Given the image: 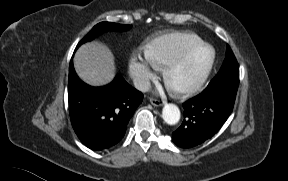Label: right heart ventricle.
I'll return each mask as SVG.
<instances>
[{
  "label": "right heart ventricle",
  "instance_id": "1",
  "mask_svg": "<svg viewBox=\"0 0 288 181\" xmlns=\"http://www.w3.org/2000/svg\"><path fill=\"white\" fill-rule=\"evenodd\" d=\"M204 43L193 32H171L152 39L146 46V55L158 68L164 67L186 50Z\"/></svg>",
  "mask_w": 288,
  "mask_h": 181
}]
</instances>
